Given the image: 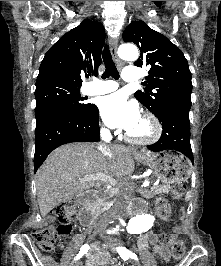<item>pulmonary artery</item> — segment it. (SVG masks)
Masks as SVG:
<instances>
[{
  "mask_svg": "<svg viewBox=\"0 0 221 266\" xmlns=\"http://www.w3.org/2000/svg\"><path fill=\"white\" fill-rule=\"evenodd\" d=\"M123 80L129 83L139 82L142 77V70L138 66L129 65L123 72ZM118 88L114 81H99L95 86L89 88L87 93L89 95H102L112 92Z\"/></svg>",
  "mask_w": 221,
  "mask_h": 266,
  "instance_id": "e3ab8cb5",
  "label": "pulmonary artery"
}]
</instances>
